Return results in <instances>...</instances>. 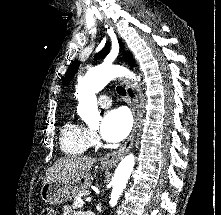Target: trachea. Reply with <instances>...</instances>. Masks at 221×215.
Listing matches in <instances>:
<instances>
[{"label":"trachea","mask_w":221,"mask_h":215,"mask_svg":"<svg viewBox=\"0 0 221 215\" xmlns=\"http://www.w3.org/2000/svg\"><path fill=\"white\" fill-rule=\"evenodd\" d=\"M116 91L119 95L125 96L126 95V91L123 87L121 86H117Z\"/></svg>","instance_id":"trachea-1"}]
</instances>
